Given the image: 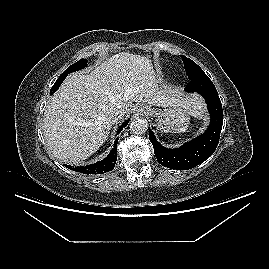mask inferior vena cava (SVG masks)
Returning a JSON list of instances; mask_svg holds the SVG:
<instances>
[{
    "label": "inferior vena cava",
    "mask_w": 269,
    "mask_h": 269,
    "mask_svg": "<svg viewBox=\"0 0 269 269\" xmlns=\"http://www.w3.org/2000/svg\"><path fill=\"white\" fill-rule=\"evenodd\" d=\"M124 115H125V110L120 108V107H117V108H113L110 111L108 119H109L110 123L115 124L120 119H122Z\"/></svg>",
    "instance_id": "1"
}]
</instances>
